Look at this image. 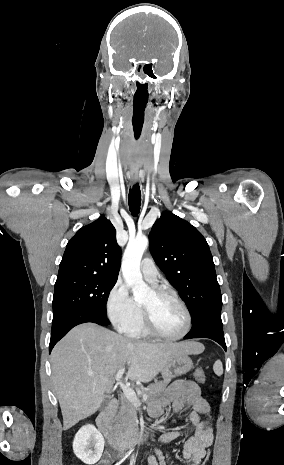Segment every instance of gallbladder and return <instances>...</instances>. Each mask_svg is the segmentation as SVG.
Instances as JSON below:
<instances>
[{
	"label": "gallbladder",
	"instance_id": "bac80fb5",
	"mask_svg": "<svg viewBox=\"0 0 284 465\" xmlns=\"http://www.w3.org/2000/svg\"><path fill=\"white\" fill-rule=\"evenodd\" d=\"M109 401H110V399H104V401H102L100 411H104V409H106Z\"/></svg>",
	"mask_w": 284,
	"mask_h": 465
}]
</instances>
